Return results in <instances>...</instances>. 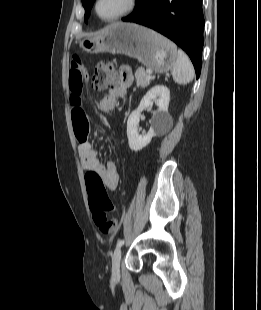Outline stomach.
<instances>
[{"instance_id":"1","label":"stomach","mask_w":261,"mask_h":310,"mask_svg":"<svg viewBox=\"0 0 261 310\" xmlns=\"http://www.w3.org/2000/svg\"><path fill=\"white\" fill-rule=\"evenodd\" d=\"M87 53L109 52L138 59L148 69L167 72L177 60L176 46L155 31L135 23L117 22L80 41Z\"/></svg>"}]
</instances>
